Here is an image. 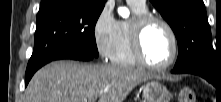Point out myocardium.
<instances>
[{
    "mask_svg": "<svg viewBox=\"0 0 221 102\" xmlns=\"http://www.w3.org/2000/svg\"><path fill=\"white\" fill-rule=\"evenodd\" d=\"M155 23L161 24L167 29V31L169 32L171 36L172 43H173L172 56L168 62L162 65H156V64L151 63L146 57L145 51H144L143 39H144L145 31L147 30L149 26ZM130 40H131L132 52H133L135 59L137 60L139 64H141L142 66L146 68H149L152 70H165L169 68L170 66H172L178 57L179 41H178L177 34L174 28L171 26V24L160 16L150 14V13L135 16L131 22Z\"/></svg>",
    "mask_w": 221,
    "mask_h": 102,
    "instance_id": "myocardium-1",
    "label": "myocardium"
}]
</instances>
